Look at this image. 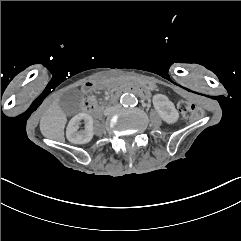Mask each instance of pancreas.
<instances>
[{
  "instance_id": "pancreas-1",
  "label": "pancreas",
  "mask_w": 241,
  "mask_h": 241,
  "mask_svg": "<svg viewBox=\"0 0 241 241\" xmlns=\"http://www.w3.org/2000/svg\"><path fill=\"white\" fill-rule=\"evenodd\" d=\"M89 101L92 102V103H97V100H96V98L94 96H90L89 97ZM99 107H100L101 110H103L104 107H105L104 103H103V105H99Z\"/></svg>"
}]
</instances>
